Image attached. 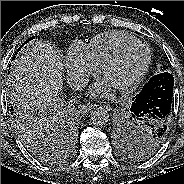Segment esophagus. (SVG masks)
I'll return each instance as SVG.
<instances>
[{"instance_id":"1","label":"esophagus","mask_w":184,"mask_h":184,"mask_svg":"<svg viewBox=\"0 0 184 184\" xmlns=\"http://www.w3.org/2000/svg\"><path fill=\"white\" fill-rule=\"evenodd\" d=\"M94 104L92 103H85L81 106V111L82 112H89L90 110H92L94 108Z\"/></svg>"}]
</instances>
